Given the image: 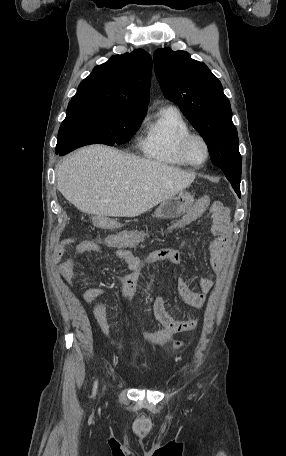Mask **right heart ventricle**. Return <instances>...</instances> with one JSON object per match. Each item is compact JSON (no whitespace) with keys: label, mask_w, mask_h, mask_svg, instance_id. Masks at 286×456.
Listing matches in <instances>:
<instances>
[{"label":"right heart ventricle","mask_w":286,"mask_h":456,"mask_svg":"<svg viewBox=\"0 0 286 456\" xmlns=\"http://www.w3.org/2000/svg\"><path fill=\"white\" fill-rule=\"evenodd\" d=\"M190 127L181 112L167 106L150 120L139 141L142 154L149 160L160 164L186 166L178 151V142Z\"/></svg>","instance_id":"right-heart-ventricle-1"}]
</instances>
